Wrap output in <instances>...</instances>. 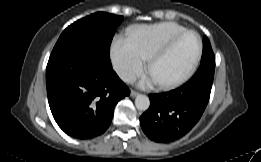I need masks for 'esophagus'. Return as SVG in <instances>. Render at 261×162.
<instances>
[{
    "mask_svg": "<svg viewBox=\"0 0 261 162\" xmlns=\"http://www.w3.org/2000/svg\"><path fill=\"white\" fill-rule=\"evenodd\" d=\"M139 95V93L137 92V91H134V90H131V92H130V96L131 97H136V96H138Z\"/></svg>",
    "mask_w": 261,
    "mask_h": 162,
    "instance_id": "esophagus-1",
    "label": "esophagus"
}]
</instances>
